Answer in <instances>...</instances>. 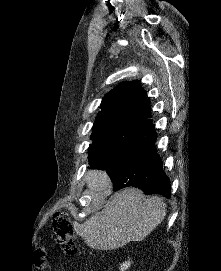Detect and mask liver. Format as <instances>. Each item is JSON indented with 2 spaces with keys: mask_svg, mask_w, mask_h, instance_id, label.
Masks as SVG:
<instances>
[{
  "mask_svg": "<svg viewBox=\"0 0 221 271\" xmlns=\"http://www.w3.org/2000/svg\"><path fill=\"white\" fill-rule=\"evenodd\" d=\"M85 179L95 211L75 229L89 247L116 249L128 241H142L166 215L162 197H148L137 187H123L105 205V197L112 189L107 171L89 169Z\"/></svg>",
  "mask_w": 221,
  "mask_h": 271,
  "instance_id": "6515ba94",
  "label": "liver"
}]
</instances>
